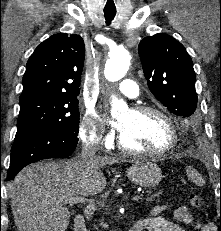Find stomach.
<instances>
[{"mask_svg":"<svg viewBox=\"0 0 221 231\" xmlns=\"http://www.w3.org/2000/svg\"><path fill=\"white\" fill-rule=\"evenodd\" d=\"M126 174L132 182L145 188L157 186L163 178L161 168L148 160L136 161Z\"/></svg>","mask_w":221,"mask_h":231,"instance_id":"obj_1","label":"stomach"}]
</instances>
